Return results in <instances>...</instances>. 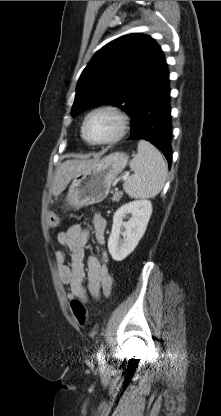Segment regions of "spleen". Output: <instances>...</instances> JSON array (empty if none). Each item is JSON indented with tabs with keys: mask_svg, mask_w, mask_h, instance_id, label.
I'll return each mask as SVG.
<instances>
[{
	"mask_svg": "<svg viewBox=\"0 0 221 416\" xmlns=\"http://www.w3.org/2000/svg\"><path fill=\"white\" fill-rule=\"evenodd\" d=\"M129 166L134 174L125 180L123 189L131 198H153L160 193L166 181L167 166L154 145L140 140Z\"/></svg>",
	"mask_w": 221,
	"mask_h": 416,
	"instance_id": "spleen-1",
	"label": "spleen"
}]
</instances>
